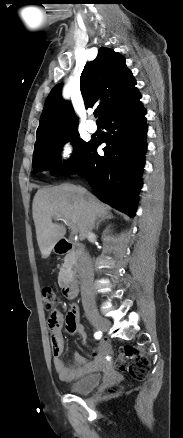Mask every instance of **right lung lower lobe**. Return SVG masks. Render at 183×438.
<instances>
[{
    "instance_id": "1",
    "label": "right lung lower lobe",
    "mask_w": 183,
    "mask_h": 438,
    "mask_svg": "<svg viewBox=\"0 0 183 438\" xmlns=\"http://www.w3.org/2000/svg\"><path fill=\"white\" fill-rule=\"evenodd\" d=\"M138 93L115 108L100 121L107 130L102 142L104 156L95 151L98 141H90L82 152L59 175L84 176L93 192L103 202L133 217L147 148V125Z\"/></svg>"
}]
</instances>
